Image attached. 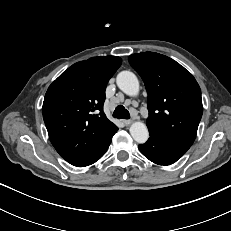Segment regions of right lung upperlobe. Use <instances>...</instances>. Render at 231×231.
<instances>
[{"label": "right lung upper lobe", "mask_w": 231, "mask_h": 231, "mask_svg": "<svg viewBox=\"0 0 231 231\" xmlns=\"http://www.w3.org/2000/svg\"><path fill=\"white\" fill-rule=\"evenodd\" d=\"M120 57L90 58L70 66L48 88L43 119L52 145L70 164H93L118 128L103 112L105 89Z\"/></svg>", "instance_id": "cb5924a9"}]
</instances>
